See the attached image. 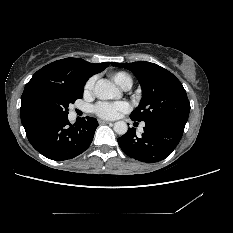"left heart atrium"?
Returning a JSON list of instances; mask_svg holds the SVG:
<instances>
[{
	"label": "left heart atrium",
	"mask_w": 233,
	"mask_h": 233,
	"mask_svg": "<svg viewBox=\"0 0 233 233\" xmlns=\"http://www.w3.org/2000/svg\"><path fill=\"white\" fill-rule=\"evenodd\" d=\"M130 110V105L126 101L98 102L93 106V112L103 119H116L121 114Z\"/></svg>",
	"instance_id": "obj_1"
}]
</instances>
